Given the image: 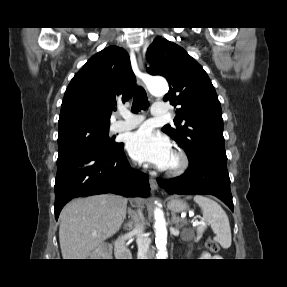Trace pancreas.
Listing matches in <instances>:
<instances>
[{
  "instance_id": "cf45deb5",
  "label": "pancreas",
  "mask_w": 287,
  "mask_h": 287,
  "mask_svg": "<svg viewBox=\"0 0 287 287\" xmlns=\"http://www.w3.org/2000/svg\"><path fill=\"white\" fill-rule=\"evenodd\" d=\"M205 229H206V226H204V225H198L197 226V228H196L197 237L195 238L196 241L200 240V238L202 237Z\"/></svg>"
}]
</instances>
